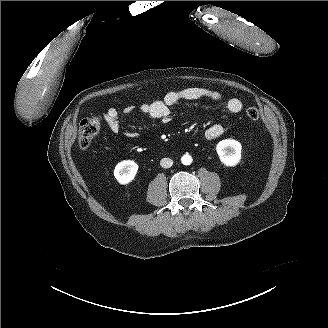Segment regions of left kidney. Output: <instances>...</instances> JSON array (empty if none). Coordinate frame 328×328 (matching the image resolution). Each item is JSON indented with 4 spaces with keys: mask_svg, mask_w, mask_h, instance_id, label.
<instances>
[{
    "mask_svg": "<svg viewBox=\"0 0 328 328\" xmlns=\"http://www.w3.org/2000/svg\"><path fill=\"white\" fill-rule=\"evenodd\" d=\"M216 151L222 163L226 166H235L241 158V144L236 140L226 139L220 141Z\"/></svg>",
    "mask_w": 328,
    "mask_h": 328,
    "instance_id": "obj_1",
    "label": "left kidney"
}]
</instances>
